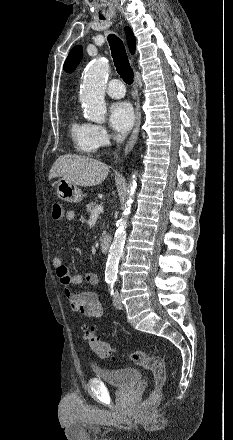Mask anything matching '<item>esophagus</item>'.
I'll list each match as a JSON object with an SVG mask.
<instances>
[{"label":"esophagus","instance_id":"1","mask_svg":"<svg viewBox=\"0 0 233 440\" xmlns=\"http://www.w3.org/2000/svg\"><path fill=\"white\" fill-rule=\"evenodd\" d=\"M131 62L133 64V57L131 56ZM134 89L136 94H138V82L137 79H135V84H134ZM140 123H141V111H140V103H139V99H137V103H136V121H135V126L133 128L132 134L129 138V141L125 147L124 150V155L126 156L127 154H129L131 152V150L133 149L134 145L136 144L138 135H139V131H140Z\"/></svg>","mask_w":233,"mask_h":440}]
</instances>
